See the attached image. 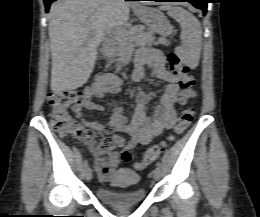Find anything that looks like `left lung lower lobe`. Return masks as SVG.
Wrapping results in <instances>:
<instances>
[{"mask_svg":"<svg viewBox=\"0 0 260 217\" xmlns=\"http://www.w3.org/2000/svg\"><path fill=\"white\" fill-rule=\"evenodd\" d=\"M148 1H156V2H190L196 8L203 10L204 14L207 12V3L208 0H148Z\"/></svg>","mask_w":260,"mask_h":217,"instance_id":"left-lung-lower-lobe-1","label":"left lung lower lobe"}]
</instances>
